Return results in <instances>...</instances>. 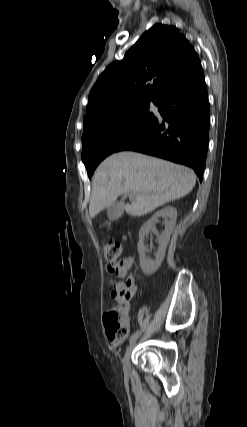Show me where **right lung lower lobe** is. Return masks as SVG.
<instances>
[{
	"label": "right lung lower lobe",
	"mask_w": 247,
	"mask_h": 427,
	"mask_svg": "<svg viewBox=\"0 0 247 427\" xmlns=\"http://www.w3.org/2000/svg\"><path fill=\"white\" fill-rule=\"evenodd\" d=\"M157 106L161 117L153 116L118 151L141 152L189 166L202 181L210 127L203 72L174 89Z\"/></svg>",
	"instance_id": "1"
}]
</instances>
